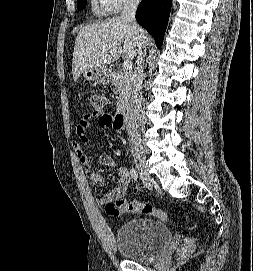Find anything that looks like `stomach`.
I'll return each mask as SVG.
<instances>
[{
	"label": "stomach",
	"mask_w": 253,
	"mask_h": 271,
	"mask_svg": "<svg viewBox=\"0 0 253 271\" xmlns=\"http://www.w3.org/2000/svg\"><path fill=\"white\" fill-rule=\"evenodd\" d=\"M83 77L88 81L102 84H108L112 82L111 71L106 66L85 70L83 72Z\"/></svg>",
	"instance_id": "obj_1"
}]
</instances>
